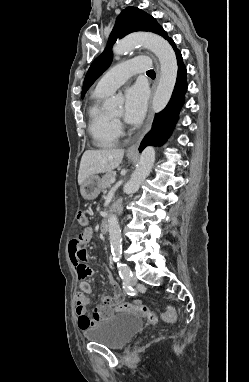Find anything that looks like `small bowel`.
I'll use <instances>...</instances> for the list:
<instances>
[{
	"label": "small bowel",
	"instance_id": "c3829d8e",
	"mask_svg": "<svg viewBox=\"0 0 249 382\" xmlns=\"http://www.w3.org/2000/svg\"><path fill=\"white\" fill-rule=\"evenodd\" d=\"M92 236L93 231L90 228H87L83 233V241H78L80 238L79 235L71 242H68L67 251L70 252L68 257L72 266H79L80 262H86L87 260H90L92 254L85 251V246L91 240ZM108 280L115 287V293L122 296V293L116 286L112 275H108ZM79 287L81 291L78 292L75 296V301L77 304L76 312L78 315V326L80 329L86 330L107 318L111 314V309L105 305H98L94 308L92 315L88 316L87 306L89 305L90 300L86 295L92 293V286L87 280L81 279L79 282Z\"/></svg>",
	"mask_w": 249,
	"mask_h": 382
}]
</instances>
